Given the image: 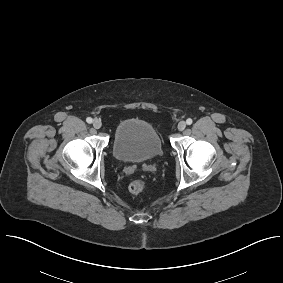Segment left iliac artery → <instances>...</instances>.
<instances>
[{"label":"left iliac artery","instance_id":"1","mask_svg":"<svg viewBox=\"0 0 283 283\" xmlns=\"http://www.w3.org/2000/svg\"><path fill=\"white\" fill-rule=\"evenodd\" d=\"M192 122H193V120H192L191 118H188V119L186 120V123H187L188 125H191Z\"/></svg>","mask_w":283,"mask_h":283}]
</instances>
